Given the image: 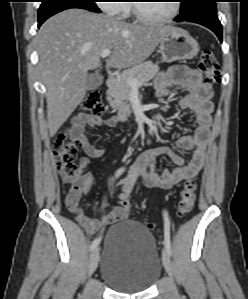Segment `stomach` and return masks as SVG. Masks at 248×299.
I'll use <instances>...</instances> for the list:
<instances>
[{
	"label": "stomach",
	"mask_w": 248,
	"mask_h": 299,
	"mask_svg": "<svg viewBox=\"0 0 248 299\" xmlns=\"http://www.w3.org/2000/svg\"><path fill=\"white\" fill-rule=\"evenodd\" d=\"M162 59L171 63L194 58L199 52L197 41L183 29L172 27L159 43Z\"/></svg>",
	"instance_id": "obj_1"
}]
</instances>
